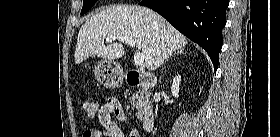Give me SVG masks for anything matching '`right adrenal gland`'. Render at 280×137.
I'll list each match as a JSON object with an SVG mask.
<instances>
[{"label":"right adrenal gland","instance_id":"right-adrenal-gland-1","mask_svg":"<svg viewBox=\"0 0 280 137\" xmlns=\"http://www.w3.org/2000/svg\"><path fill=\"white\" fill-rule=\"evenodd\" d=\"M173 54H186V53L184 52V49L182 48V49L177 50ZM173 54H170V56L173 55ZM168 59H169V57H167L166 61H168ZM162 74H163V67H162ZM160 81H161V78H160Z\"/></svg>","mask_w":280,"mask_h":137}]
</instances>
